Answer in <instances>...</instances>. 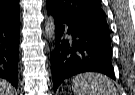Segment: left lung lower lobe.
I'll return each mask as SVG.
<instances>
[{"instance_id":"left-lung-lower-lobe-1","label":"left lung lower lobe","mask_w":135,"mask_h":95,"mask_svg":"<svg viewBox=\"0 0 135 95\" xmlns=\"http://www.w3.org/2000/svg\"><path fill=\"white\" fill-rule=\"evenodd\" d=\"M47 13L55 24V47L50 55L54 91L64 79L83 72H99L115 80L109 30L72 22L49 8Z\"/></svg>"}]
</instances>
